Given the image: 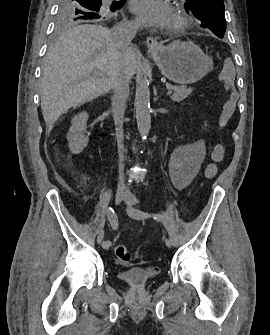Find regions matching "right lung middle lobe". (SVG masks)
Here are the masks:
<instances>
[{"instance_id":"right-lung-middle-lobe-1","label":"right lung middle lobe","mask_w":270,"mask_h":335,"mask_svg":"<svg viewBox=\"0 0 270 335\" xmlns=\"http://www.w3.org/2000/svg\"><path fill=\"white\" fill-rule=\"evenodd\" d=\"M126 0L114 1L110 7L102 6L101 0H60L58 3L57 25L59 28L83 24L84 20L107 22L110 12L120 9Z\"/></svg>"}]
</instances>
